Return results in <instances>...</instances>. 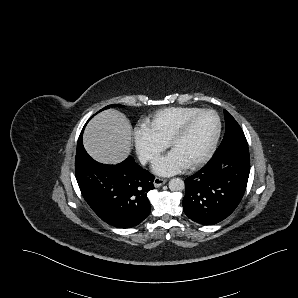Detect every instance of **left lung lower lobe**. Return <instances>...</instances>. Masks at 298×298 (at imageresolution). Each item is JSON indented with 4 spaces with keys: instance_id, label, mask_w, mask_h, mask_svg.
Wrapping results in <instances>:
<instances>
[{
    "instance_id": "left-lung-lower-lobe-1",
    "label": "left lung lower lobe",
    "mask_w": 298,
    "mask_h": 298,
    "mask_svg": "<svg viewBox=\"0 0 298 298\" xmlns=\"http://www.w3.org/2000/svg\"><path fill=\"white\" fill-rule=\"evenodd\" d=\"M249 171L245 137L218 148L200 171L185 180V214L202 225H213L227 218L244 195Z\"/></svg>"
}]
</instances>
